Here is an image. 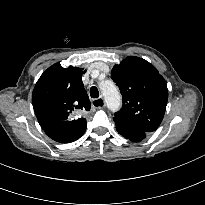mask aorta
Returning a JSON list of instances; mask_svg holds the SVG:
<instances>
[{
	"label": "aorta",
	"instance_id": "1",
	"mask_svg": "<svg viewBox=\"0 0 205 205\" xmlns=\"http://www.w3.org/2000/svg\"><path fill=\"white\" fill-rule=\"evenodd\" d=\"M100 89L104 96L107 107L112 112L119 110L121 106V95L115 84L110 80H106L100 83Z\"/></svg>",
	"mask_w": 205,
	"mask_h": 205
}]
</instances>
